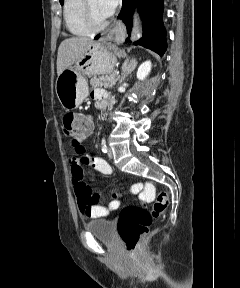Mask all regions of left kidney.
<instances>
[{
	"label": "left kidney",
	"mask_w": 240,
	"mask_h": 288,
	"mask_svg": "<svg viewBox=\"0 0 240 288\" xmlns=\"http://www.w3.org/2000/svg\"><path fill=\"white\" fill-rule=\"evenodd\" d=\"M151 67L152 65L150 61L143 62L138 68L137 78L139 80H144L149 75Z\"/></svg>",
	"instance_id": "5707ae66"
}]
</instances>
